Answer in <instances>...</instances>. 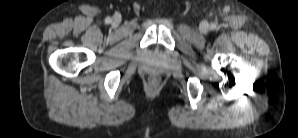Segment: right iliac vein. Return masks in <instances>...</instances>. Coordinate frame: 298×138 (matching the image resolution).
Returning a JSON list of instances; mask_svg holds the SVG:
<instances>
[{"label": "right iliac vein", "instance_id": "obj_1", "mask_svg": "<svg viewBox=\"0 0 298 138\" xmlns=\"http://www.w3.org/2000/svg\"><path fill=\"white\" fill-rule=\"evenodd\" d=\"M113 25H118L120 23V17L119 16H114L112 20Z\"/></svg>", "mask_w": 298, "mask_h": 138}]
</instances>
